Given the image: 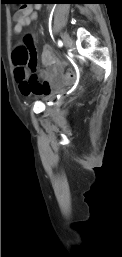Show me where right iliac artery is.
<instances>
[{"label":"right iliac artery","mask_w":122,"mask_h":257,"mask_svg":"<svg viewBox=\"0 0 122 257\" xmlns=\"http://www.w3.org/2000/svg\"><path fill=\"white\" fill-rule=\"evenodd\" d=\"M58 45H59V46H62V45H63L62 41L59 40V41H58Z\"/></svg>","instance_id":"right-iliac-artery-1"}]
</instances>
